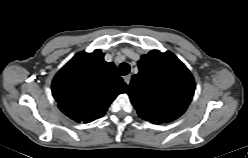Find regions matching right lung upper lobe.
Here are the masks:
<instances>
[{"mask_svg":"<svg viewBox=\"0 0 248 158\" xmlns=\"http://www.w3.org/2000/svg\"><path fill=\"white\" fill-rule=\"evenodd\" d=\"M126 88L115 65L104 61L100 50L75 55L52 81V94L59 109L76 122L84 123L102 117Z\"/></svg>","mask_w":248,"mask_h":158,"instance_id":"1","label":"right lung upper lobe"}]
</instances>
